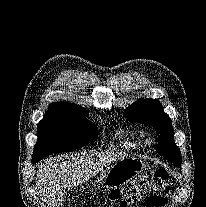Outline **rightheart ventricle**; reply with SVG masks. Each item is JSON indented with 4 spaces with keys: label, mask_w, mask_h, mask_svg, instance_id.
Returning a JSON list of instances; mask_svg holds the SVG:
<instances>
[{
    "label": "right heart ventricle",
    "mask_w": 206,
    "mask_h": 207,
    "mask_svg": "<svg viewBox=\"0 0 206 207\" xmlns=\"http://www.w3.org/2000/svg\"><path fill=\"white\" fill-rule=\"evenodd\" d=\"M124 145L129 148H140L143 145L142 137L132 135L124 141Z\"/></svg>",
    "instance_id": "1"
}]
</instances>
